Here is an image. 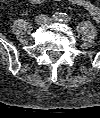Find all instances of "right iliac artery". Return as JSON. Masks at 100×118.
Here are the masks:
<instances>
[{
  "mask_svg": "<svg viewBox=\"0 0 100 118\" xmlns=\"http://www.w3.org/2000/svg\"><path fill=\"white\" fill-rule=\"evenodd\" d=\"M61 13L56 12L55 14H53L52 18L54 21H61Z\"/></svg>",
  "mask_w": 100,
  "mask_h": 118,
  "instance_id": "1",
  "label": "right iliac artery"
}]
</instances>
